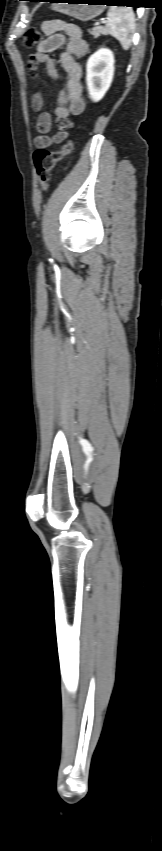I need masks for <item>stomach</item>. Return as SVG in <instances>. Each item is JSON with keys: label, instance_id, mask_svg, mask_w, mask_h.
Wrapping results in <instances>:
<instances>
[{"label": "stomach", "instance_id": "0dacf381", "mask_svg": "<svg viewBox=\"0 0 162 851\" xmlns=\"http://www.w3.org/2000/svg\"><path fill=\"white\" fill-rule=\"evenodd\" d=\"M52 9L81 21H88L99 16L105 6L104 0H54Z\"/></svg>", "mask_w": 162, "mask_h": 851}]
</instances>
